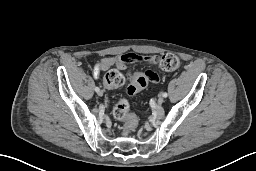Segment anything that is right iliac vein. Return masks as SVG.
<instances>
[{"label":"right iliac vein","instance_id":"obj_1","mask_svg":"<svg viewBox=\"0 0 256 171\" xmlns=\"http://www.w3.org/2000/svg\"><path fill=\"white\" fill-rule=\"evenodd\" d=\"M98 95H99V96H102V95H103V91L100 90V91L98 92Z\"/></svg>","mask_w":256,"mask_h":171}]
</instances>
